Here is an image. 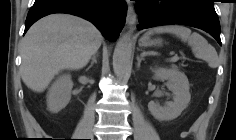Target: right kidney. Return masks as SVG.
I'll return each mask as SVG.
<instances>
[{
  "instance_id": "1",
  "label": "right kidney",
  "mask_w": 236,
  "mask_h": 140,
  "mask_svg": "<svg viewBox=\"0 0 236 140\" xmlns=\"http://www.w3.org/2000/svg\"><path fill=\"white\" fill-rule=\"evenodd\" d=\"M73 82L69 74L61 75L50 87L47 94V108L57 113L67 106L71 99Z\"/></svg>"
}]
</instances>
